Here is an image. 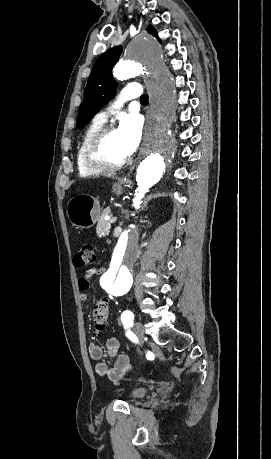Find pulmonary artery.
Here are the masks:
<instances>
[{"instance_id": "obj_1", "label": "pulmonary artery", "mask_w": 271, "mask_h": 459, "mask_svg": "<svg viewBox=\"0 0 271 459\" xmlns=\"http://www.w3.org/2000/svg\"><path fill=\"white\" fill-rule=\"evenodd\" d=\"M139 87L140 84L137 81H129L127 83V89H121L119 95L115 96V104H112L98 113L95 119L100 123H105L109 115L120 109V104L128 103V98H140L142 96V91L138 89Z\"/></svg>"}]
</instances>
